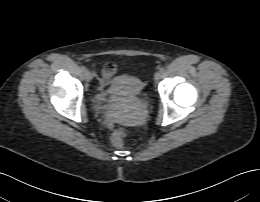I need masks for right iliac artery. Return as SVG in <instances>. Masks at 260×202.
Returning a JSON list of instances; mask_svg holds the SVG:
<instances>
[{
  "mask_svg": "<svg viewBox=\"0 0 260 202\" xmlns=\"http://www.w3.org/2000/svg\"><path fill=\"white\" fill-rule=\"evenodd\" d=\"M81 70L82 71H86V67L85 66H81Z\"/></svg>",
  "mask_w": 260,
  "mask_h": 202,
  "instance_id": "right-iliac-artery-1",
  "label": "right iliac artery"
}]
</instances>
